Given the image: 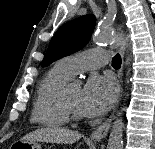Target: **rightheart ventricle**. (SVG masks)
<instances>
[{
    "label": "right heart ventricle",
    "instance_id": "obj_1",
    "mask_svg": "<svg viewBox=\"0 0 155 149\" xmlns=\"http://www.w3.org/2000/svg\"><path fill=\"white\" fill-rule=\"evenodd\" d=\"M69 79L56 64L40 80L32 109L33 123L45 127H60L68 123L69 117L62 106L61 94Z\"/></svg>",
    "mask_w": 155,
    "mask_h": 149
}]
</instances>
